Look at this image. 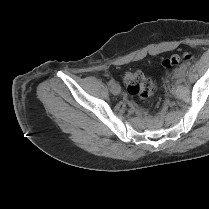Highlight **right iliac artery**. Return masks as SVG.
<instances>
[{
    "mask_svg": "<svg viewBox=\"0 0 209 209\" xmlns=\"http://www.w3.org/2000/svg\"><path fill=\"white\" fill-rule=\"evenodd\" d=\"M114 83H115V80H114V79H111V80L109 81V85H110V86H112Z\"/></svg>",
    "mask_w": 209,
    "mask_h": 209,
    "instance_id": "1",
    "label": "right iliac artery"
}]
</instances>
